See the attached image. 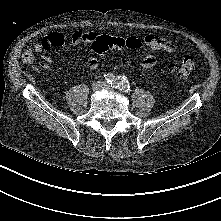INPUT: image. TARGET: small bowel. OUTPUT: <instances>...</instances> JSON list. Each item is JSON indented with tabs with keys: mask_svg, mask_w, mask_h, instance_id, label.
Segmentation results:
<instances>
[{
	"mask_svg": "<svg viewBox=\"0 0 221 221\" xmlns=\"http://www.w3.org/2000/svg\"><path fill=\"white\" fill-rule=\"evenodd\" d=\"M98 35L94 32H82L76 31L71 35V43L73 45H83V44H91ZM65 42V36L61 33H53L49 34L48 36L44 37L41 42L35 44V50L38 53L43 54L42 59L43 61L40 63V67L43 70H48L52 66L60 67L55 61L50 58L49 56L45 55L44 53L47 51L52 50L57 46L63 45ZM143 43L148 50V53L145 54L141 59V66L144 68H152L157 63V58L155 53L158 51H165L172 53L176 50V46L164 39L159 38L153 34H147L143 38ZM86 64L92 68L96 69L99 67L100 62L97 58L90 56L86 60Z\"/></svg>",
	"mask_w": 221,
	"mask_h": 221,
	"instance_id": "1",
	"label": "small bowel"
}]
</instances>
